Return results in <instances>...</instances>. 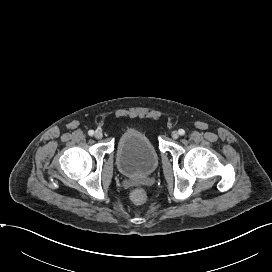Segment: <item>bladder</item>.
Masks as SVG:
<instances>
[{
  "label": "bladder",
  "instance_id": "31cf9c89",
  "mask_svg": "<svg viewBox=\"0 0 272 272\" xmlns=\"http://www.w3.org/2000/svg\"><path fill=\"white\" fill-rule=\"evenodd\" d=\"M158 162L157 150L147 135L129 129L120 136L116 148V163L123 175H149L157 168Z\"/></svg>",
  "mask_w": 272,
  "mask_h": 272
}]
</instances>
